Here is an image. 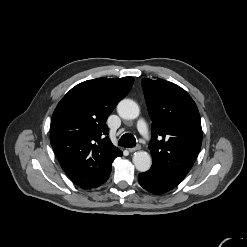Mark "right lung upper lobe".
<instances>
[{
    "mask_svg": "<svg viewBox=\"0 0 247 247\" xmlns=\"http://www.w3.org/2000/svg\"><path fill=\"white\" fill-rule=\"evenodd\" d=\"M134 78H98L73 87L52 115L50 142L61 167L82 189L105 182L122 151L108 138L106 120Z\"/></svg>",
    "mask_w": 247,
    "mask_h": 247,
    "instance_id": "cb5924a9",
    "label": "right lung upper lobe"
}]
</instances>
